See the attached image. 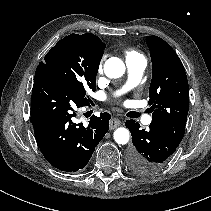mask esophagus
I'll list each match as a JSON object with an SVG mask.
<instances>
[{
	"label": "esophagus",
	"instance_id": "obj_1",
	"mask_svg": "<svg viewBox=\"0 0 211 211\" xmlns=\"http://www.w3.org/2000/svg\"><path fill=\"white\" fill-rule=\"evenodd\" d=\"M121 120L119 119V118H112L111 120H110V122H109V128L111 129V130H113V129H115V128H117L118 126H120L121 125Z\"/></svg>",
	"mask_w": 211,
	"mask_h": 211
}]
</instances>
